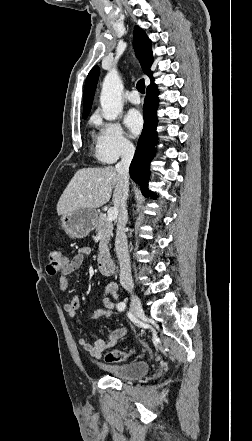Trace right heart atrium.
<instances>
[{
    "instance_id": "d8ad5b80",
    "label": "right heart atrium",
    "mask_w": 252,
    "mask_h": 441,
    "mask_svg": "<svg viewBox=\"0 0 252 441\" xmlns=\"http://www.w3.org/2000/svg\"><path fill=\"white\" fill-rule=\"evenodd\" d=\"M98 126L96 136V156L106 164H112L119 158L130 157L135 151L121 124L117 121L95 120Z\"/></svg>"
}]
</instances>
